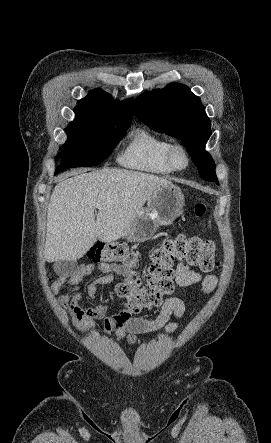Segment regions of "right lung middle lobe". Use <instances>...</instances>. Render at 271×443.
<instances>
[{
	"label": "right lung middle lobe",
	"instance_id": "dd1d6c3e",
	"mask_svg": "<svg viewBox=\"0 0 271 443\" xmlns=\"http://www.w3.org/2000/svg\"><path fill=\"white\" fill-rule=\"evenodd\" d=\"M130 118H87L72 121L55 173L73 167H89L105 160L131 123Z\"/></svg>",
	"mask_w": 271,
	"mask_h": 443
}]
</instances>
